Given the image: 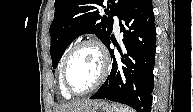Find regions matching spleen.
<instances>
[{
	"label": "spleen",
	"mask_w": 193,
	"mask_h": 112,
	"mask_svg": "<svg viewBox=\"0 0 193 112\" xmlns=\"http://www.w3.org/2000/svg\"><path fill=\"white\" fill-rule=\"evenodd\" d=\"M115 108H116V112H133V110L129 109L128 107L119 108V107L115 106Z\"/></svg>",
	"instance_id": "obj_1"
}]
</instances>
